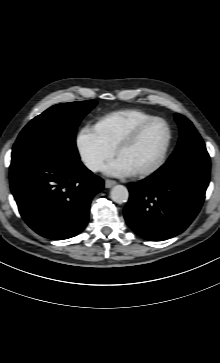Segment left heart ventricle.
<instances>
[{"mask_svg":"<svg viewBox=\"0 0 220 363\" xmlns=\"http://www.w3.org/2000/svg\"><path fill=\"white\" fill-rule=\"evenodd\" d=\"M167 139L164 124L154 123L148 126L140 136L117 155L133 171L153 165L159 158Z\"/></svg>","mask_w":220,"mask_h":363,"instance_id":"left-heart-ventricle-1","label":"left heart ventricle"}]
</instances>
